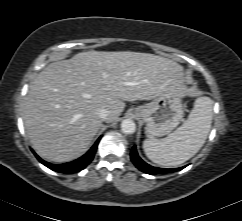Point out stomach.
Segmentation results:
<instances>
[{"label": "stomach", "instance_id": "obj_1", "mask_svg": "<svg viewBox=\"0 0 242 221\" xmlns=\"http://www.w3.org/2000/svg\"><path fill=\"white\" fill-rule=\"evenodd\" d=\"M133 113L146 124L147 136L161 137L179 125L184 111L181 96L169 93L154 98L149 104L134 108Z\"/></svg>", "mask_w": 242, "mask_h": 221}]
</instances>
